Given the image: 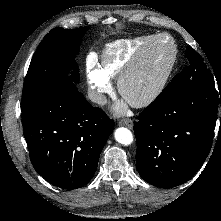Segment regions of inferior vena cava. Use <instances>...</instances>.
Returning a JSON list of instances; mask_svg holds the SVG:
<instances>
[{
    "mask_svg": "<svg viewBox=\"0 0 221 221\" xmlns=\"http://www.w3.org/2000/svg\"><path fill=\"white\" fill-rule=\"evenodd\" d=\"M88 98L99 105H104L107 102L106 96L104 94H101L95 90H89L88 91Z\"/></svg>",
    "mask_w": 221,
    "mask_h": 221,
    "instance_id": "602c4592",
    "label": "inferior vena cava"
}]
</instances>
